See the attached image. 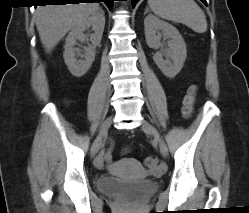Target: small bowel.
Instances as JSON below:
<instances>
[{
	"label": "small bowel",
	"mask_w": 249,
	"mask_h": 213,
	"mask_svg": "<svg viewBox=\"0 0 249 213\" xmlns=\"http://www.w3.org/2000/svg\"><path fill=\"white\" fill-rule=\"evenodd\" d=\"M95 164L99 168L107 167L110 170L115 168V165L112 162L111 148L107 151L102 152L96 159Z\"/></svg>",
	"instance_id": "small-bowel-1"
}]
</instances>
